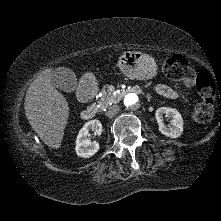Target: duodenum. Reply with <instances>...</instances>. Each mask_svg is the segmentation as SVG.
<instances>
[{
	"instance_id": "1",
	"label": "duodenum",
	"mask_w": 221,
	"mask_h": 221,
	"mask_svg": "<svg viewBox=\"0 0 221 221\" xmlns=\"http://www.w3.org/2000/svg\"><path fill=\"white\" fill-rule=\"evenodd\" d=\"M97 91H98V86L91 81H87V82H84L79 87L77 95H78L79 100L83 102H87L95 96ZM96 114H97L96 106L91 105L82 111L81 117L84 120H89V119L94 118Z\"/></svg>"
}]
</instances>
